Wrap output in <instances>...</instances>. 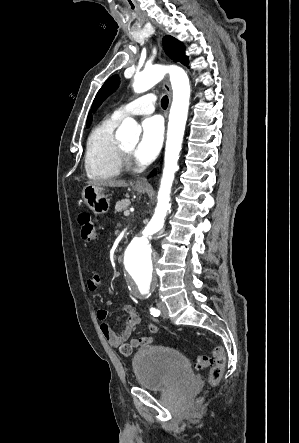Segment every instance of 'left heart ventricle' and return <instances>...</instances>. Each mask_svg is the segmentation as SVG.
<instances>
[{"instance_id": "b2bd125f", "label": "left heart ventricle", "mask_w": 299, "mask_h": 443, "mask_svg": "<svg viewBox=\"0 0 299 443\" xmlns=\"http://www.w3.org/2000/svg\"><path fill=\"white\" fill-rule=\"evenodd\" d=\"M137 142H131V143H126L123 144V146L125 147V149H127L130 152H134L135 148H136Z\"/></svg>"}]
</instances>
